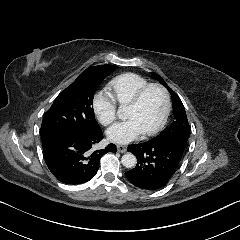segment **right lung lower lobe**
Returning a JSON list of instances; mask_svg holds the SVG:
<instances>
[{
  "mask_svg": "<svg viewBox=\"0 0 240 240\" xmlns=\"http://www.w3.org/2000/svg\"><path fill=\"white\" fill-rule=\"evenodd\" d=\"M103 139V133H60L42 139L43 152L51 173L65 184H82L97 173L101 157L116 152V145L95 150L94 145Z\"/></svg>",
  "mask_w": 240,
  "mask_h": 240,
  "instance_id": "1",
  "label": "right lung lower lobe"
}]
</instances>
